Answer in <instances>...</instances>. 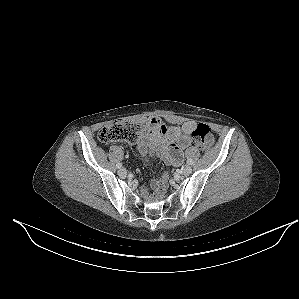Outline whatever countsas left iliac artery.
Returning <instances> with one entry per match:
<instances>
[{"label": "left iliac artery", "mask_w": 299, "mask_h": 299, "mask_svg": "<svg viewBox=\"0 0 299 299\" xmlns=\"http://www.w3.org/2000/svg\"><path fill=\"white\" fill-rule=\"evenodd\" d=\"M187 163H188L189 165H192V164H193V161H192L191 159H188V160H187Z\"/></svg>", "instance_id": "44dca946"}]
</instances>
